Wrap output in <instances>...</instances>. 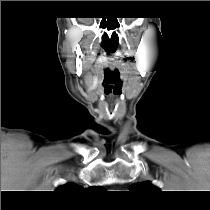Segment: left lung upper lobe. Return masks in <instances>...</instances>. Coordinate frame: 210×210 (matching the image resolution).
Instances as JSON below:
<instances>
[{"label": "left lung upper lobe", "instance_id": "obj_1", "mask_svg": "<svg viewBox=\"0 0 210 210\" xmlns=\"http://www.w3.org/2000/svg\"><path fill=\"white\" fill-rule=\"evenodd\" d=\"M130 190L138 193H149L159 189L153 186L150 182H143L140 184H133Z\"/></svg>", "mask_w": 210, "mask_h": 210}]
</instances>
